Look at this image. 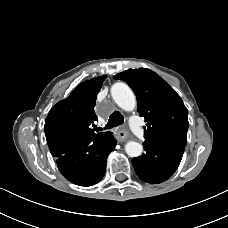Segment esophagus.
Instances as JSON below:
<instances>
[{
	"mask_svg": "<svg viewBox=\"0 0 228 228\" xmlns=\"http://www.w3.org/2000/svg\"><path fill=\"white\" fill-rule=\"evenodd\" d=\"M116 138L119 142H123L128 138V133L123 129H119L116 133Z\"/></svg>",
	"mask_w": 228,
	"mask_h": 228,
	"instance_id": "obj_1",
	"label": "esophagus"
}]
</instances>
